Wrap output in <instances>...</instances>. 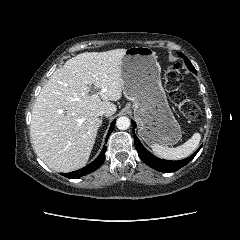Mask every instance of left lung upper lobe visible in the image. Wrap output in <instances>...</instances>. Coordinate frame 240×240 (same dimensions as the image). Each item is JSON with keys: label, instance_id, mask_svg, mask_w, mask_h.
<instances>
[{"label": "left lung upper lobe", "instance_id": "left-lung-upper-lobe-1", "mask_svg": "<svg viewBox=\"0 0 240 240\" xmlns=\"http://www.w3.org/2000/svg\"><path fill=\"white\" fill-rule=\"evenodd\" d=\"M178 54H179V56H181V57L184 59L185 64H186V66L188 67V69H189L190 71H192L193 73H196V69H195L194 66L191 64V62L188 60V58H187L184 54H182V53H178Z\"/></svg>", "mask_w": 240, "mask_h": 240}]
</instances>
